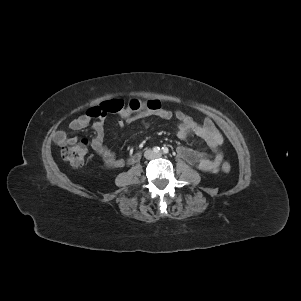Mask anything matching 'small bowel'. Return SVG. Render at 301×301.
<instances>
[{"mask_svg": "<svg viewBox=\"0 0 301 301\" xmlns=\"http://www.w3.org/2000/svg\"><path fill=\"white\" fill-rule=\"evenodd\" d=\"M133 112L134 111L130 109H124L120 112V116L127 123L139 121L144 126L149 125L150 117H158L169 121L176 120L178 122L177 136L179 139L184 140L191 135L197 136L206 143L210 151L208 154L180 146L177 148L178 156L201 171L209 173H216L218 171L223 161L220 148L223 145L224 139L210 119H205L202 124H199L192 117L180 110L172 112L162 106L155 111L139 110L135 115ZM92 118L94 117L86 112L74 118L70 122L69 127L74 131L82 130L89 125ZM92 127L94 136L91 140V146L94 151L100 155L105 166L111 169L123 167L126 161L117 158L114 152L105 144V116L95 118ZM54 140L56 143L63 145L75 141L77 138L75 136H69L65 131L60 130L55 133Z\"/></svg>", "mask_w": 301, "mask_h": 301, "instance_id": "1", "label": "small bowel"}]
</instances>
